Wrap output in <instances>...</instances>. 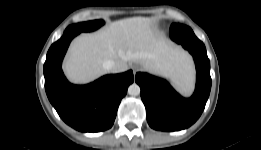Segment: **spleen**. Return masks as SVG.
Masks as SVG:
<instances>
[{
  "label": "spleen",
  "mask_w": 261,
  "mask_h": 150,
  "mask_svg": "<svg viewBox=\"0 0 261 150\" xmlns=\"http://www.w3.org/2000/svg\"><path fill=\"white\" fill-rule=\"evenodd\" d=\"M176 88L184 95H189L193 88V77L190 67L179 77H171Z\"/></svg>",
  "instance_id": "obj_1"
}]
</instances>
